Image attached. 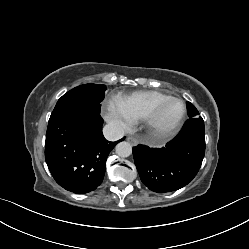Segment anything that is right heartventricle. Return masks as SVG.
<instances>
[{
  "instance_id": "e07e8e85",
  "label": "right heart ventricle",
  "mask_w": 249,
  "mask_h": 249,
  "mask_svg": "<svg viewBox=\"0 0 249 249\" xmlns=\"http://www.w3.org/2000/svg\"><path fill=\"white\" fill-rule=\"evenodd\" d=\"M171 96L155 90L136 91L129 95L119 96L117 101L135 119H144L146 114L158 103Z\"/></svg>"
}]
</instances>
